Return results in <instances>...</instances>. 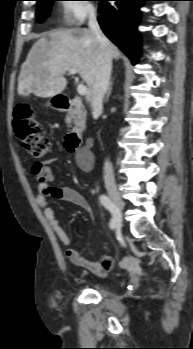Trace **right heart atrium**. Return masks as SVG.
Wrapping results in <instances>:
<instances>
[{
  "instance_id": "1",
  "label": "right heart atrium",
  "mask_w": 193,
  "mask_h": 349,
  "mask_svg": "<svg viewBox=\"0 0 193 349\" xmlns=\"http://www.w3.org/2000/svg\"><path fill=\"white\" fill-rule=\"evenodd\" d=\"M95 8L89 0H64L62 20L67 25H80L94 15Z\"/></svg>"
}]
</instances>
